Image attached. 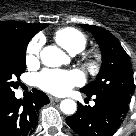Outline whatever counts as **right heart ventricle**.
Here are the masks:
<instances>
[{
	"mask_svg": "<svg viewBox=\"0 0 136 136\" xmlns=\"http://www.w3.org/2000/svg\"><path fill=\"white\" fill-rule=\"evenodd\" d=\"M54 38L62 48L71 54L81 52L87 44L85 34L73 27H66L58 30Z\"/></svg>",
	"mask_w": 136,
	"mask_h": 136,
	"instance_id": "right-heart-ventricle-1",
	"label": "right heart ventricle"
}]
</instances>
